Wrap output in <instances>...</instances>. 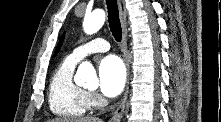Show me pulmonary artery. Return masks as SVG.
Returning <instances> with one entry per match:
<instances>
[{
    "mask_svg": "<svg viewBox=\"0 0 221 122\" xmlns=\"http://www.w3.org/2000/svg\"><path fill=\"white\" fill-rule=\"evenodd\" d=\"M109 48L110 45L106 40L96 38L75 48L69 57L78 62L90 54L106 52Z\"/></svg>",
    "mask_w": 221,
    "mask_h": 122,
    "instance_id": "pulmonary-artery-1",
    "label": "pulmonary artery"
}]
</instances>
